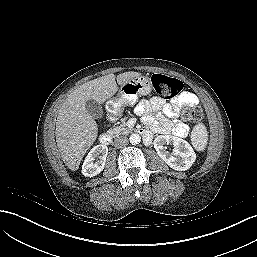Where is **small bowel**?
<instances>
[{
	"label": "small bowel",
	"instance_id": "c3829d8e",
	"mask_svg": "<svg viewBox=\"0 0 257 257\" xmlns=\"http://www.w3.org/2000/svg\"><path fill=\"white\" fill-rule=\"evenodd\" d=\"M198 104V98L191 92H183L180 96L173 99L169 103H165L158 98L151 100H142L138 103L136 111L139 115L143 116L144 121L150 126V131L147 130L149 141L152 137V133L165 134L171 132L172 134L184 137L188 133V127L181 123H173L172 118L176 117L180 108L183 106H195ZM161 112L162 116L159 118L153 117L151 111Z\"/></svg>",
	"mask_w": 257,
	"mask_h": 257
}]
</instances>
